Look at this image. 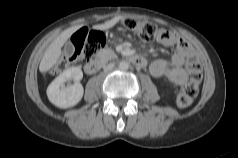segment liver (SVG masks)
Wrapping results in <instances>:
<instances>
[{"instance_id": "liver-1", "label": "liver", "mask_w": 238, "mask_h": 158, "mask_svg": "<svg viewBox=\"0 0 238 158\" xmlns=\"http://www.w3.org/2000/svg\"><path fill=\"white\" fill-rule=\"evenodd\" d=\"M120 19L115 18L112 19L104 24L98 25L95 28L99 30H106L113 27ZM82 26H74L64 30L47 48L39 66V70L41 72H46L50 68H52L56 62L58 61L59 57L61 56V48L67 42L69 37L79 30Z\"/></svg>"}]
</instances>
